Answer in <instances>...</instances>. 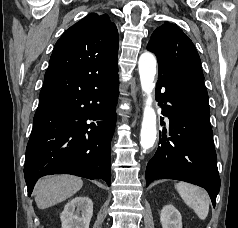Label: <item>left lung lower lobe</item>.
<instances>
[{
  "instance_id": "obj_1",
  "label": "left lung lower lobe",
  "mask_w": 238,
  "mask_h": 228,
  "mask_svg": "<svg viewBox=\"0 0 238 228\" xmlns=\"http://www.w3.org/2000/svg\"><path fill=\"white\" fill-rule=\"evenodd\" d=\"M156 99L163 103L160 106L162 115L169 118V130L160 134V146L147 165L146 186L157 179L193 183L208 191L215 207L220 177L208 101L169 76L158 78Z\"/></svg>"
}]
</instances>
